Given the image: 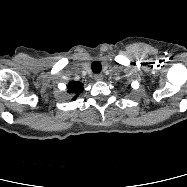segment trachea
Here are the masks:
<instances>
[{"label":"trachea","instance_id":"1","mask_svg":"<svg viewBox=\"0 0 187 187\" xmlns=\"http://www.w3.org/2000/svg\"><path fill=\"white\" fill-rule=\"evenodd\" d=\"M91 68L94 73H100L102 70V65L99 61H94L91 65Z\"/></svg>","mask_w":187,"mask_h":187}]
</instances>
